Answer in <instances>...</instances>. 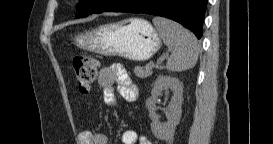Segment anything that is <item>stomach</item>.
Masks as SVG:
<instances>
[{
	"instance_id": "obj_1",
	"label": "stomach",
	"mask_w": 273,
	"mask_h": 144,
	"mask_svg": "<svg viewBox=\"0 0 273 144\" xmlns=\"http://www.w3.org/2000/svg\"><path fill=\"white\" fill-rule=\"evenodd\" d=\"M73 44L104 56L145 61L160 49L161 39L148 21L129 18L81 33Z\"/></svg>"
}]
</instances>
